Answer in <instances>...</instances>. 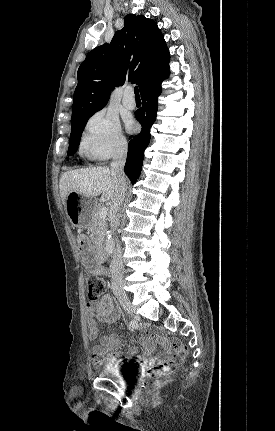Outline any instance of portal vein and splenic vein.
I'll return each instance as SVG.
<instances>
[{
	"mask_svg": "<svg viewBox=\"0 0 275 431\" xmlns=\"http://www.w3.org/2000/svg\"><path fill=\"white\" fill-rule=\"evenodd\" d=\"M107 212H108V209L106 207H101L99 209V213H98L99 217L100 218H105L107 216Z\"/></svg>",
	"mask_w": 275,
	"mask_h": 431,
	"instance_id": "18ae733b",
	"label": "portal vein and splenic vein"
}]
</instances>
